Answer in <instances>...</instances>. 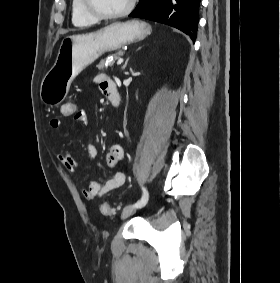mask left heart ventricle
Instances as JSON below:
<instances>
[{"instance_id": "b2bd125f", "label": "left heart ventricle", "mask_w": 280, "mask_h": 283, "mask_svg": "<svg viewBox=\"0 0 280 283\" xmlns=\"http://www.w3.org/2000/svg\"><path fill=\"white\" fill-rule=\"evenodd\" d=\"M92 5L102 13L114 14L122 11L129 0H91Z\"/></svg>"}]
</instances>
